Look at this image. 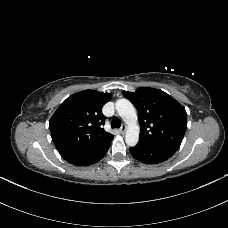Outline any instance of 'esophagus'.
<instances>
[{
  "label": "esophagus",
  "instance_id": "obj_1",
  "mask_svg": "<svg viewBox=\"0 0 228 228\" xmlns=\"http://www.w3.org/2000/svg\"><path fill=\"white\" fill-rule=\"evenodd\" d=\"M126 128H127V126H126L125 124H123V125L121 126V128L119 129V132H120L121 134H125Z\"/></svg>",
  "mask_w": 228,
  "mask_h": 228
}]
</instances>
